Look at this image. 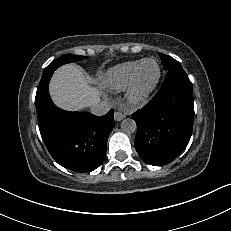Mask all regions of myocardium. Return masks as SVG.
Wrapping results in <instances>:
<instances>
[{
  "mask_svg": "<svg viewBox=\"0 0 231 231\" xmlns=\"http://www.w3.org/2000/svg\"><path fill=\"white\" fill-rule=\"evenodd\" d=\"M147 62H153L157 66V70H158L157 77L155 81L152 83V85L147 90H145L142 93H139L136 88L137 75L141 67ZM161 77H162V70H161V66L159 65V63L155 59H151V58L143 59L134 69L130 77V80L126 86V98L128 102L131 105L136 106V107L145 105L151 98L157 86L159 85Z\"/></svg>",
  "mask_w": 231,
  "mask_h": 231,
  "instance_id": "f54148a6",
  "label": "myocardium"
}]
</instances>
